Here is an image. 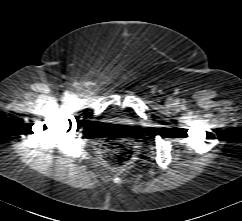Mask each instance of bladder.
I'll return each mask as SVG.
<instances>
[{
	"label": "bladder",
	"mask_w": 242,
	"mask_h": 221,
	"mask_svg": "<svg viewBox=\"0 0 242 221\" xmlns=\"http://www.w3.org/2000/svg\"><path fill=\"white\" fill-rule=\"evenodd\" d=\"M111 119H112L113 124L121 125L122 122H125L127 120V117L120 115L118 113H113L111 116ZM125 123H127V122H125Z\"/></svg>",
	"instance_id": "obj_1"
}]
</instances>
